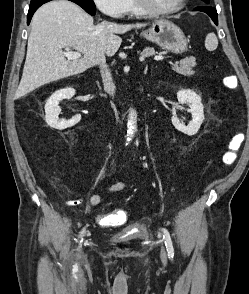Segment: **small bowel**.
Here are the masks:
<instances>
[{
  "label": "small bowel",
  "instance_id": "1",
  "mask_svg": "<svg viewBox=\"0 0 249 294\" xmlns=\"http://www.w3.org/2000/svg\"><path fill=\"white\" fill-rule=\"evenodd\" d=\"M129 187V184L125 182H115L109 185L105 189V194H111L115 192H120ZM103 201V195L92 194L88 198V204L91 207L99 206ZM68 205L75 206L79 204V201H69ZM126 220V215L122 211L113 212L106 215H99L97 217V223L102 227H115L123 224Z\"/></svg>",
  "mask_w": 249,
  "mask_h": 294
}]
</instances>
